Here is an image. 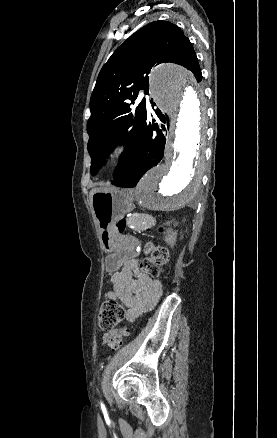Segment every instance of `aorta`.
<instances>
[{"label":"aorta","instance_id":"762f6f07","mask_svg":"<svg viewBox=\"0 0 277 438\" xmlns=\"http://www.w3.org/2000/svg\"><path fill=\"white\" fill-rule=\"evenodd\" d=\"M150 91L171 127L164 161L141 179L138 198L148 209L170 211L188 203L200 186L205 108L191 74L173 64L152 71Z\"/></svg>","mask_w":277,"mask_h":438}]
</instances>
